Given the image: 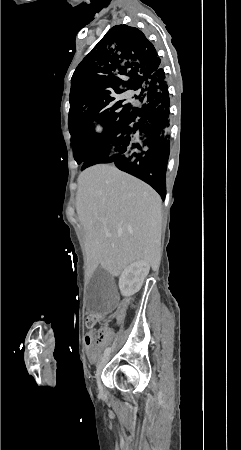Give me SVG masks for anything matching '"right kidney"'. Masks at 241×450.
<instances>
[{
	"instance_id": "1",
	"label": "right kidney",
	"mask_w": 241,
	"mask_h": 450,
	"mask_svg": "<svg viewBox=\"0 0 241 450\" xmlns=\"http://www.w3.org/2000/svg\"><path fill=\"white\" fill-rule=\"evenodd\" d=\"M149 270L150 264L146 260H139V262H133V264L127 266L119 278V288L122 296L129 298V296L139 292L146 276L149 274Z\"/></svg>"
}]
</instances>
